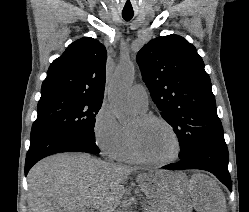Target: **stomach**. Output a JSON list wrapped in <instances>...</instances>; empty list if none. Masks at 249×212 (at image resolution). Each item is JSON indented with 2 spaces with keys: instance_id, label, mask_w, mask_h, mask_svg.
<instances>
[{
  "instance_id": "0dacf381",
  "label": "stomach",
  "mask_w": 249,
  "mask_h": 212,
  "mask_svg": "<svg viewBox=\"0 0 249 212\" xmlns=\"http://www.w3.org/2000/svg\"><path fill=\"white\" fill-rule=\"evenodd\" d=\"M139 179L147 198H153L148 204H160L159 212H191L190 195L186 193L191 179H186L182 170H147Z\"/></svg>"
}]
</instances>
